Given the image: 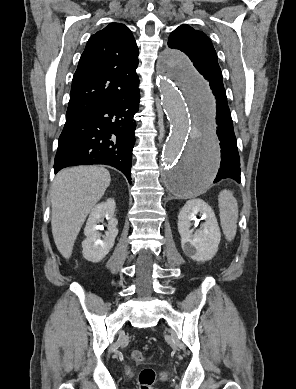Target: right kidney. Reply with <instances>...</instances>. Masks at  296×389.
I'll use <instances>...</instances> for the list:
<instances>
[{"label": "right kidney", "instance_id": "1", "mask_svg": "<svg viewBox=\"0 0 296 389\" xmlns=\"http://www.w3.org/2000/svg\"><path fill=\"white\" fill-rule=\"evenodd\" d=\"M116 204L114 199L109 198L93 207L84 229L86 236L82 242L83 257L91 262L101 261L113 248L115 238L118 234V220L115 218ZM108 221L107 231L102 235L99 230H103L100 223ZM103 238V239H101Z\"/></svg>", "mask_w": 296, "mask_h": 389}]
</instances>
